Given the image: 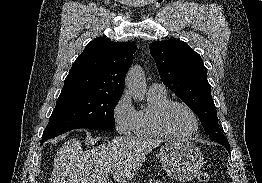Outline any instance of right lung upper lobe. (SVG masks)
I'll list each match as a JSON object with an SVG mask.
<instances>
[{
    "instance_id": "cb5924a9",
    "label": "right lung upper lobe",
    "mask_w": 262,
    "mask_h": 183,
    "mask_svg": "<svg viewBox=\"0 0 262 183\" xmlns=\"http://www.w3.org/2000/svg\"><path fill=\"white\" fill-rule=\"evenodd\" d=\"M136 49L131 42L94 39L73 63L61 93L90 91L122 95Z\"/></svg>"
}]
</instances>
